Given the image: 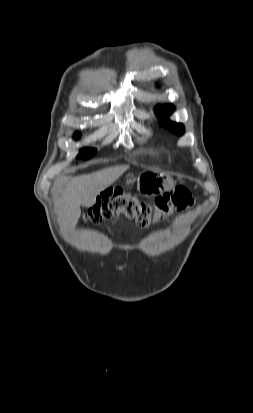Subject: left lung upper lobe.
Segmentation results:
<instances>
[{"label":"left lung upper lobe","instance_id":"5c2ea615","mask_svg":"<svg viewBox=\"0 0 253 413\" xmlns=\"http://www.w3.org/2000/svg\"><path fill=\"white\" fill-rule=\"evenodd\" d=\"M174 111V107L170 104L158 106L155 110L156 115L160 118L161 123L170 129L172 132L182 135L184 133V126L179 123L172 122L168 116Z\"/></svg>","mask_w":253,"mask_h":413}]
</instances>
